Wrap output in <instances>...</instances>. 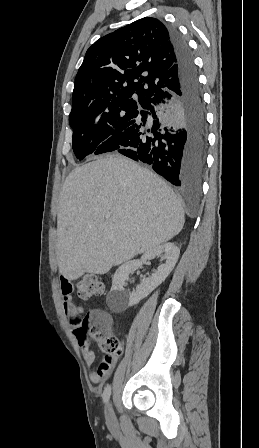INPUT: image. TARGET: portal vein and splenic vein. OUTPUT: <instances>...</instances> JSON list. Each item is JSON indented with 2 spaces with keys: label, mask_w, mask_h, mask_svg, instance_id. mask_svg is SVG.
Returning <instances> with one entry per match:
<instances>
[{
  "label": "portal vein and splenic vein",
  "mask_w": 259,
  "mask_h": 448,
  "mask_svg": "<svg viewBox=\"0 0 259 448\" xmlns=\"http://www.w3.org/2000/svg\"><path fill=\"white\" fill-rule=\"evenodd\" d=\"M111 214H112V212H107V214H105L106 220H108V218H110Z\"/></svg>",
  "instance_id": "1"
}]
</instances>
